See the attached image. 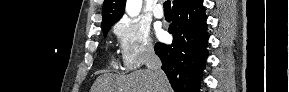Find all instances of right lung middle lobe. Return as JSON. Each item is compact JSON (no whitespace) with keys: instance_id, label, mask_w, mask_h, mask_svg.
Masks as SVG:
<instances>
[{"instance_id":"right-lung-middle-lobe-1","label":"right lung middle lobe","mask_w":289,"mask_h":92,"mask_svg":"<svg viewBox=\"0 0 289 92\" xmlns=\"http://www.w3.org/2000/svg\"><path fill=\"white\" fill-rule=\"evenodd\" d=\"M112 25H108V26L102 28L104 37H106V35H107V33H108V31H109V29L111 28Z\"/></svg>"}]
</instances>
